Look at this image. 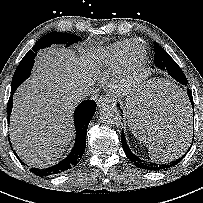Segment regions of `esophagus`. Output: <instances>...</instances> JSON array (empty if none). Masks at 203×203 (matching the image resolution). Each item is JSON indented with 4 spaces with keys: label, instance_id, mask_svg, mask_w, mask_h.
Wrapping results in <instances>:
<instances>
[{
    "label": "esophagus",
    "instance_id": "obj_1",
    "mask_svg": "<svg viewBox=\"0 0 203 203\" xmlns=\"http://www.w3.org/2000/svg\"><path fill=\"white\" fill-rule=\"evenodd\" d=\"M113 100L109 97L106 96H101L98 100H97V106L98 107H104L106 105H109L110 103H112Z\"/></svg>",
    "mask_w": 203,
    "mask_h": 203
}]
</instances>
